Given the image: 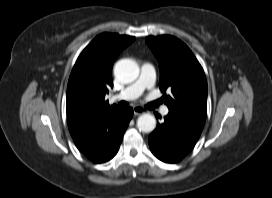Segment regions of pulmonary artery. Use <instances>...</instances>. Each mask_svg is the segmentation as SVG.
<instances>
[{"instance_id": "e3ab8cb5", "label": "pulmonary artery", "mask_w": 272, "mask_h": 198, "mask_svg": "<svg viewBox=\"0 0 272 198\" xmlns=\"http://www.w3.org/2000/svg\"><path fill=\"white\" fill-rule=\"evenodd\" d=\"M155 84V68L149 63H144L141 67V76L133 84L127 86L120 92L113 95L114 100H134L142 95L145 90L151 89ZM167 107H163L161 113L167 115Z\"/></svg>"}]
</instances>
